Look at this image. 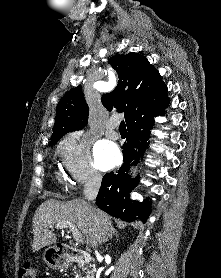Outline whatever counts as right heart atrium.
Returning a JSON list of instances; mask_svg holds the SVG:
<instances>
[{
    "label": "right heart atrium",
    "instance_id": "right-heart-atrium-1",
    "mask_svg": "<svg viewBox=\"0 0 221 278\" xmlns=\"http://www.w3.org/2000/svg\"><path fill=\"white\" fill-rule=\"evenodd\" d=\"M58 154L63 169L73 182L88 185L100 181L101 175L91 157L90 143L81 131L67 134L58 145Z\"/></svg>",
    "mask_w": 221,
    "mask_h": 278
}]
</instances>
